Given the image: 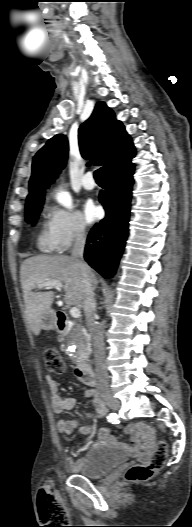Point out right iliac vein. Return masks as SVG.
Wrapping results in <instances>:
<instances>
[{
    "mask_svg": "<svg viewBox=\"0 0 192 527\" xmlns=\"http://www.w3.org/2000/svg\"><path fill=\"white\" fill-rule=\"evenodd\" d=\"M103 400L105 403L113 410H117L119 408V401L113 397V395L110 392H105L102 394Z\"/></svg>",
    "mask_w": 192,
    "mask_h": 527,
    "instance_id": "63e3f726",
    "label": "right iliac vein"
}]
</instances>
